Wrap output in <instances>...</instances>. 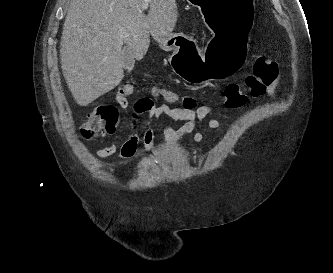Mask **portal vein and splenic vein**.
I'll return each instance as SVG.
<instances>
[{"label":"portal vein and splenic vein","instance_id":"1","mask_svg":"<svg viewBox=\"0 0 333 273\" xmlns=\"http://www.w3.org/2000/svg\"><path fill=\"white\" fill-rule=\"evenodd\" d=\"M147 2H148V0H145V3L141 7L142 10H146L148 8L149 4Z\"/></svg>","mask_w":333,"mask_h":273}]
</instances>
